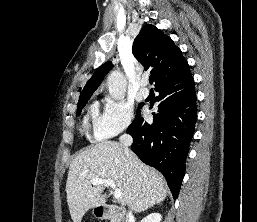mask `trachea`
Returning <instances> with one entry per match:
<instances>
[{
  "instance_id": "3493384b",
  "label": "trachea",
  "mask_w": 257,
  "mask_h": 222,
  "mask_svg": "<svg viewBox=\"0 0 257 222\" xmlns=\"http://www.w3.org/2000/svg\"><path fill=\"white\" fill-rule=\"evenodd\" d=\"M153 82H154V77H153V76H150V77H149V83L152 85Z\"/></svg>"
}]
</instances>
